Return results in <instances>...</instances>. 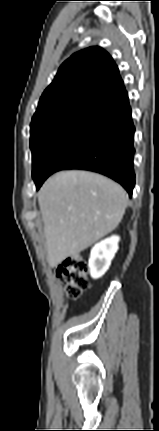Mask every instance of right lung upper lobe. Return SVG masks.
<instances>
[{
    "instance_id": "cb5924a9",
    "label": "right lung upper lobe",
    "mask_w": 159,
    "mask_h": 431,
    "mask_svg": "<svg viewBox=\"0 0 159 431\" xmlns=\"http://www.w3.org/2000/svg\"><path fill=\"white\" fill-rule=\"evenodd\" d=\"M128 100L112 57L100 47L73 54L42 94L32 121L68 114L88 119Z\"/></svg>"
}]
</instances>
